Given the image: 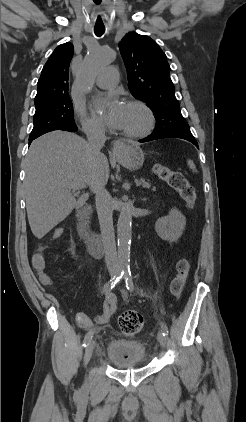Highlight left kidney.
I'll return each mask as SVG.
<instances>
[{
    "mask_svg": "<svg viewBox=\"0 0 246 422\" xmlns=\"http://www.w3.org/2000/svg\"><path fill=\"white\" fill-rule=\"evenodd\" d=\"M186 226L185 216L177 209H171L165 217L159 218L155 223L158 236L165 241H177Z\"/></svg>",
    "mask_w": 246,
    "mask_h": 422,
    "instance_id": "1",
    "label": "left kidney"
}]
</instances>
